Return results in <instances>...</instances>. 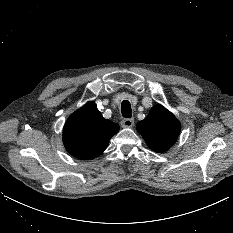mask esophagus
Segmentation results:
<instances>
[{
    "label": "esophagus",
    "mask_w": 233,
    "mask_h": 233,
    "mask_svg": "<svg viewBox=\"0 0 233 233\" xmlns=\"http://www.w3.org/2000/svg\"><path fill=\"white\" fill-rule=\"evenodd\" d=\"M134 125V119L132 118H125L121 121V126L123 128H130Z\"/></svg>",
    "instance_id": "34e87169"
}]
</instances>
